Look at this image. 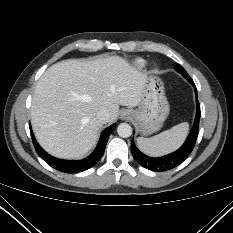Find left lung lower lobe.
<instances>
[{
    "label": "left lung lower lobe",
    "mask_w": 233,
    "mask_h": 233,
    "mask_svg": "<svg viewBox=\"0 0 233 233\" xmlns=\"http://www.w3.org/2000/svg\"><path fill=\"white\" fill-rule=\"evenodd\" d=\"M188 81L195 88L197 110H196L195 122L193 124L192 130L187 140L185 141V143L177 151L169 155L159 157V158H152L140 152L135 146L134 141L132 140V143H131L132 155L136 159V161L146 169H149L152 171H165V170L175 168L190 155V153L192 152L195 146L198 132H199V121H200L201 112H200V105L197 99L196 86L191 78H189Z\"/></svg>",
    "instance_id": "obj_1"
}]
</instances>
